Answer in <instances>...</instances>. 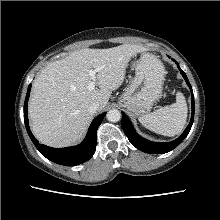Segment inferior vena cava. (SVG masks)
I'll return each instance as SVG.
<instances>
[{
    "label": "inferior vena cava",
    "mask_w": 220,
    "mask_h": 220,
    "mask_svg": "<svg viewBox=\"0 0 220 220\" xmlns=\"http://www.w3.org/2000/svg\"><path fill=\"white\" fill-rule=\"evenodd\" d=\"M99 109V104L98 103H92L89 108H88V111L91 113V114H94L96 113V111Z\"/></svg>",
    "instance_id": "1"
}]
</instances>
